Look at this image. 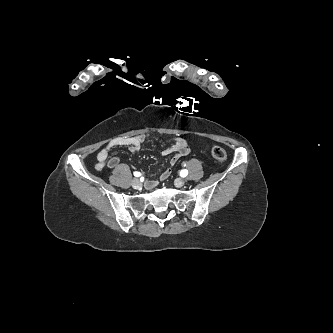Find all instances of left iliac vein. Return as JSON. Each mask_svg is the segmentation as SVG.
<instances>
[{
    "mask_svg": "<svg viewBox=\"0 0 333 333\" xmlns=\"http://www.w3.org/2000/svg\"><path fill=\"white\" fill-rule=\"evenodd\" d=\"M184 184H185V180L182 179V178H177V179H175V181H174V185H175L176 187H182V186H184Z\"/></svg>",
    "mask_w": 333,
    "mask_h": 333,
    "instance_id": "obj_1",
    "label": "left iliac vein"
}]
</instances>
